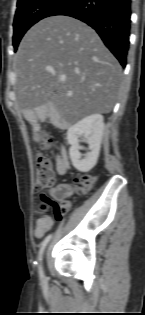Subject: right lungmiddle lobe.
I'll list each match as a JSON object with an SVG mask.
<instances>
[{"instance_id":"1","label":"right lung middle lobe","mask_w":145,"mask_h":315,"mask_svg":"<svg viewBox=\"0 0 145 315\" xmlns=\"http://www.w3.org/2000/svg\"><path fill=\"white\" fill-rule=\"evenodd\" d=\"M68 0H18L13 28V46L18 44L25 32L35 23L51 14Z\"/></svg>"}]
</instances>
